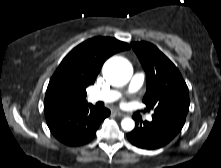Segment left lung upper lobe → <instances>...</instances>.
Instances as JSON below:
<instances>
[{
    "mask_svg": "<svg viewBox=\"0 0 221 168\" xmlns=\"http://www.w3.org/2000/svg\"><path fill=\"white\" fill-rule=\"evenodd\" d=\"M147 77L143 102L152 109L153 119L164 120L182 128L189 111L188 87L178 68L153 44L133 42Z\"/></svg>",
    "mask_w": 221,
    "mask_h": 168,
    "instance_id": "left-lung-upper-lobe-1",
    "label": "left lung upper lobe"
}]
</instances>
